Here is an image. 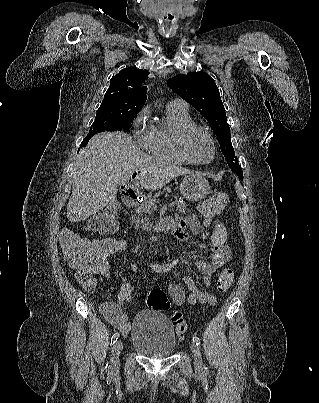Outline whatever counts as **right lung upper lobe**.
I'll return each mask as SVG.
<instances>
[{
    "instance_id": "right-lung-upper-lobe-1",
    "label": "right lung upper lobe",
    "mask_w": 319,
    "mask_h": 403,
    "mask_svg": "<svg viewBox=\"0 0 319 403\" xmlns=\"http://www.w3.org/2000/svg\"><path fill=\"white\" fill-rule=\"evenodd\" d=\"M148 71L134 67L121 70L112 77L102 104H122L142 109L146 101L147 88L142 86Z\"/></svg>"
}]
</instances>
